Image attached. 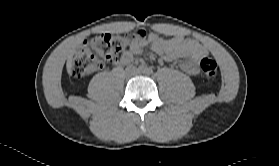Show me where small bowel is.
I'll use <instances>...</instances> for the list:
<instances>
[{
  "mask_svg": "<svg viewBox=\"0 0 279 166\" xmlns=\"http://www.w3.org/2000/svg\"><path fill=\"white\" fill-rule=\"evenodd\" d=\"M147 47H150L168 62L185 59L181 63V68L190 75L199 73L198 62L207 53L199 42L185 38L183 35L164 39L155 33H150L145 40L133 44L125 57L119 61V64L131 63L134 55H140Z\"/></svg>",
  "mask_w": 279,
  "mask_h": 166,
  "instance_id": "1",
  "label": "small bowel"
}]
</instances>
